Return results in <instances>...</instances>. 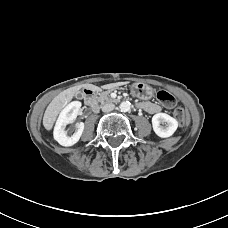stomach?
<instances>
[{
	"label": "stomach",
	"mask_w": 228,
	"mask_h": 228,
	"mask_svg": "<svg viewBox=\"0 0 228 228\" xmlns=\"http://www.w3.org/2000/svg\"><path fill=\"white\" fill-rule=\"evenodd\" d=\"M133 96L143 100L150 99L153 96L152 88L144 82H135L130 86Z\"/></svg>",
	"instance_id": "obj_1"
}]
</instances>
